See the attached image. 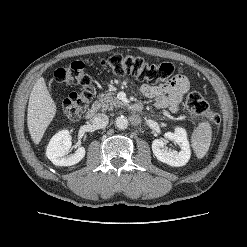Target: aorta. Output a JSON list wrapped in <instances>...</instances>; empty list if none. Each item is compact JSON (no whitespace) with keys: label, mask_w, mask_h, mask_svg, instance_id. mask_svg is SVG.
Listing matches in <instances>:
<instances>
[{"label":"aorta","mask_w":247,"mask_h":247,"mask_svg":"<svg viewBox=\"0 0 247 247\" xmlns=\"http://www.w3.org/2000/svg\"><path fill=\"white\" fill-rule=\"evenodd\" d=\"M116 127L120 130H124L128 127V119L124 116H119L116 118Z\"/></svg>","instance_id":"obj_1"}]
</instances>
